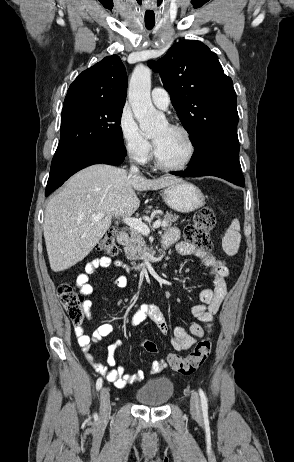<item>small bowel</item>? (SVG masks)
Segmentation results:
<instances>
[{"label":"small bowel","mask_w":294,"mask_h":462,"mask_svg":"<svg viewBox=\"0 0 294 462\" xmlns=\"http://www.w3.org/2000/svg\"><path fill=\"white\" fill-rule=\"evenodd\" d=\"M162 244L170 247L175 246L177 252L183 256L195 255L202 257L201 253L197 251L190 243L179 241V230L172 227L166 231L163 236ZM203 260V259H202ZM209 267L210 273L213 277L214 287L212 289H204L199 293V303L192 308V314L201 322L210 324L212 317L218 311L221 303L223 302L227 293V278L229 271L223 261L216 260L213 257L207 262H204ZM110 266L125 267L119 260H113L110 257H99L85 265L84 271L76 278V285L82 296H90L93 293V286L89 282V277L100 268H107ZM115 284L119 287H124L127 284V279L120 276L115 280ZM92 302L85 300L84 309L87 318L92 319L90 312ZM147 319H150L158 329L167 334L168 324L163 311L156 303L141 304L138 310L132 315L130 325L139 326ZM113 331V326L109 322L101 323L92 333L91 336L85 333L83 326H76L74 332L76 334L78 344L85 355L86 360L93 367V369L106 377L108 381L113 383L118 388H123L127 385L136 383L143 379L144 373L136 371L134 373H126L123 365L117 366L116 350L122 347L121 340H116L108 346L106 357L107 366L100 363L95 359L91 351V344L97 343L110 335ZM204 334L203 327L198 323H192L187 328L176 326L173 329V336L171 338L172 346L177 351H185L194 345L197 339L201 338ZM166 364L163 361L156 360L152 363L149 373L155 375L160 373Z\"/></svg>","instance_id":"c3829d8e"}]
</instances>
